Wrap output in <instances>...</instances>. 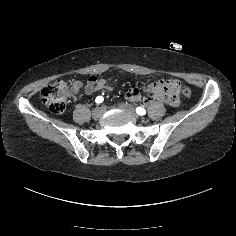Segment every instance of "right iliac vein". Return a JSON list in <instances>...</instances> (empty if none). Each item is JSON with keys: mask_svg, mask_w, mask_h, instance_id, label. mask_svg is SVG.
I'll list each match as a JSON object with an SVG mask.
<instances>
[{"mask_svg": "<svg viewBox=\"0 0 236 236\" xmlns=\"http://www.w3.org/2000/svg\"><path fill=\"white\" fill-rule=\"evenodd\" d=\"M102 115V108L98 107L92 111L93 119H98Z\"/></svg>", "mask_w": 236, "mask_h": 236, "instance_id": "right-iliac-vein-1", "label": "right iliac vein"}]
</instances>
